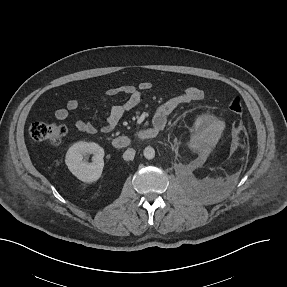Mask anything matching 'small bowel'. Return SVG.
I'll return each instance as SVG.
<instances>
[{"instance_id":"c3829d8e","label":"small bowel","mask_w":287,"mask_h":287,"mask_svg":"<svg viewBox=\"0 0 287 287\" xmlns=\"http://www.w3.org/2000/svg\"><path fill=\"white\" fill-rule=\"evenodd\" d=\"M150 89L151 84L146 81L138 85H122L107 89L106 94L109 96L125 95L126 98L124 102L111 107L101 131L103 133L111 132L127 112L139 105L142 95ZM203 97L204 92L200 88L194 86L186 87L180 94L169 98L155 110L152 118L153 127H157L159 130L163 129L168 122L169 116L177 108L187 103L199 101ZM79 106L78 100L71 99L65 106L55 111V117L60 121H65L69 119L71 113L76 111ZM74 125L78 131L83 133L94 134L97 132L94 124L82 119H77Z\"/></svg>"}]
</instances>
